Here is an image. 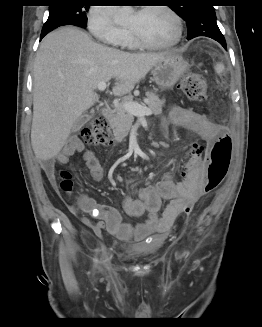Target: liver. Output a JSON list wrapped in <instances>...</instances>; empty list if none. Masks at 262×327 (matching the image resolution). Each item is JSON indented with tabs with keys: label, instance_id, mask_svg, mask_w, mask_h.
Segmentation results:
<instances>
[{
	"label": "liver",
	"instance_id": "liver-1",
	"mask_svg": "<svg viewBox=\"0 0 262 327\" xmlns=\"http://www.w3.org/2000/svg\"><path fill=\"white\" fill-rule=\"evenodd\" d=\"M167 55L110 48L76 27L48 34L34 63L31 144L36 158L47 161L59 154L74 122L98 100L99 83L114 78V95L128 94Z\"/></svg>",
	"mask_w": 262,
	"mask_h": 327
}]
</instances>
